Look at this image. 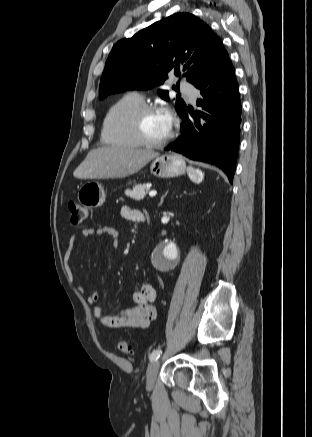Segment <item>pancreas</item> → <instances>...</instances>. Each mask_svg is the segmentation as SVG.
<instances>
[{
  "label": "pancreas",
  "instance_id": "obj_1",
  "mask_svg": "<svg viewBox=\"0 0 312 437\" xmlns=\"http://www.w3.org/2000/svg\"><path fill=\"white\" fill-rule=\"evenodd\" d=\"M149 191V187L146 184H138L134 186L132 189H127L125 191L126 196L134 199L136 201L142 200Z\"/></svg>",
  "mask_w": 312,
  "mask_h": 437
}]
</instances>
